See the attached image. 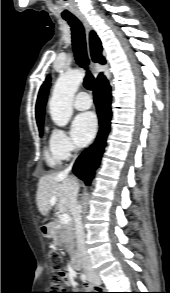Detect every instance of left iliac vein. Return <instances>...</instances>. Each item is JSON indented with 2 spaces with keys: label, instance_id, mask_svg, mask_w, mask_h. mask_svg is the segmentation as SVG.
<instances>
[{
  "label": "left iliac vein",
  "instance_id": "4c4485c4",
  "mask_svg": "<svg viewBox=\"0 0 170 293\" xmlns=\"http://www.w3.org/2000/svg\"><path fill=\"white\" fill-rule=\"evenodd\" d=\"M88 280L95 286L101 285L102 282L100 276L95 272L88 274Z\"/></svg>",
  "mask_w": 170,
  "mask_h": 293
}]
</instances>
